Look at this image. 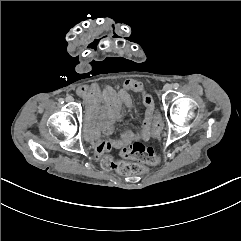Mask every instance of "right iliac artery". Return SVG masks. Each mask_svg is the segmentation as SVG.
<instances>
[{
  "label": "right iliac artery",
  "instance_id": "obj_1",
  "mask_svg": "<svg viewBox=\"0 0 241 241\" xmlns=\"http://www.w3.org/2000/svg\"><path fill=\"white\" fill-rule=\"evenodd\" d=\"M59 103L63 104L64 100L62 98L59 99Z\"/></svg>",
  "mask_w": 241,
  "mask_h": 241
}]
</instances>
